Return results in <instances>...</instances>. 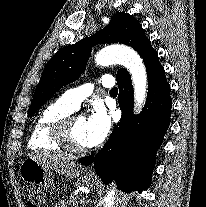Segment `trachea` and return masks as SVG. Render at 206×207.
<instances>
[{
    "label": "trachea",
    "instance_id": "3493384b",
    "mask_svg": "<svg viewBox=\"0 0 206 207\" xmlns=\"http://www.w3.org/2000/svg\"><path fill=\"white\" fill-rule=\"evenodd\" d=\"M110 93L116 94V93H118V89L117 88H113V89L110 90Z\"/></svg>",
    "mask_w": 206,
    "mask_h": 207
}]
</instances>
